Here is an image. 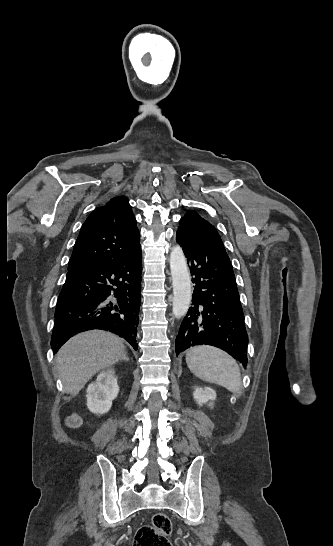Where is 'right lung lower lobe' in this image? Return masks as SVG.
Listing matches in <instances>:
<instances>
[{
	"label": "right lung lower lobe",
	"instance_id": "right-lung-lower-lobe-1",
	"mask_svg": "<svg viewBox=\"0 0 333 546\" xmlns=\"http://www.w3.org/2000/svg\"><path fill=\"white\" fill-rule=\"evenodd\" d=\"M141 274V247L119 261L68 271L55 309L53 352L73 335L92 329L115 333L137 350Z\"/></svg>",
	"mask_w": 333,
	"mask_h": 546
}]
</instances>
